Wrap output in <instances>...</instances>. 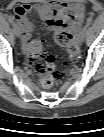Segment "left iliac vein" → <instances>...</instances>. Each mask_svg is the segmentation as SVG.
<instances>
[{
	"instance_id": "4c4485c4",
	"label": "left iliac vein",
	"mask_w": 104,
	"mask_h": 137,
	"mask_svg": "<svg viewBox=\"0 0 104 137\" xmlns=\"http://www.w3.org/2000/svg\"><path fill=\"white\" fill-rule=\"evenodd\" d=\"M85 34H86V29H83L78 37V41L80 43H82L84 41V38H85Z\"/></svg>"
}]
</instances>
